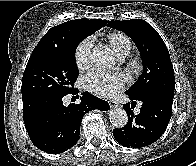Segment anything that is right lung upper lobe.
I'll list each match as a JSON object with an SVG mask.
<instances>
[{
  "instance_id": "cb5924a9",
  "label": "right lung upper lobe",
  "mask_w": 196,
  "mask_h": 166,
  "mask_svg": "<svg viewBox=\"0 0 196 166\" xmlns=\"http://www.w3.org/2000/svg\"><path fill=\"white\" fill-rule=\"evenodd\" d=\"M108 23L107 20L99 19H77L67 21L49 29V31L40 40L39 44H61L64 43L72 30H79L89 36Z\"/></svg>"
}]
</instances>
